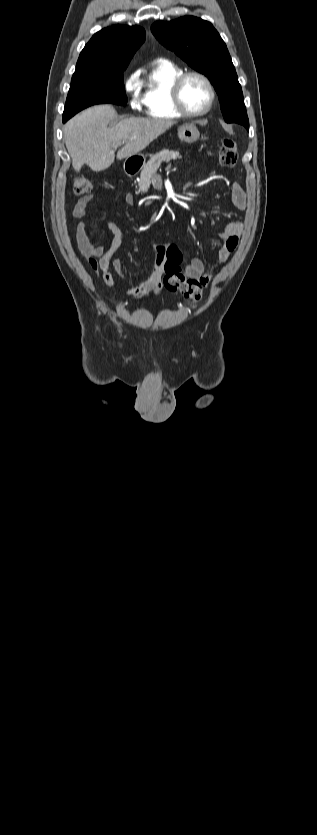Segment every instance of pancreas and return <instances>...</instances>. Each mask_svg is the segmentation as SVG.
<instances>
[{"label": "pancreas", "instance_id": "1", "mask_svg": "<svg viewBox=\"0 0 317 835\" xmlns=\"http://www.w3.org/2000/svg\"><path fill=\"white\" fill-rule=\"evenodd\" d=\"M177 158H181L179 152L168 149H164L159 153L153 155L150 158V160L144 165L141 171L140 179L138 181L139 192L145 193L148 191L151 184V179L153 178V176L157 174V170L159 169L161 163H169L170 161L176 160Z\"/></svg>", "mask_w": 317, "mask_h": 835}]
</instances>
